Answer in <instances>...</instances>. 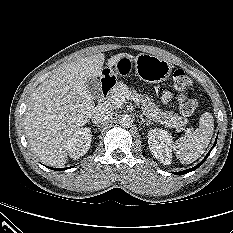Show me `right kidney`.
Returning a JSON list of instances; mask_svg holds the SVG:
<instances>
[{"label":"right kidney","mask_w":233,"mask_h":233,"mask_svg":"<svg viewBox=\"0 0 233 233\" xmlns=\"http://www.w3.org/2000/svg\"><path fill=\"white\" fill-rule=\"evenodd\" d=\"M92 134L89 128L78 129L67 142V152L73 159H79L89 150Z\"/></svg>","instance_id":"obj_1"}]
</instances>
